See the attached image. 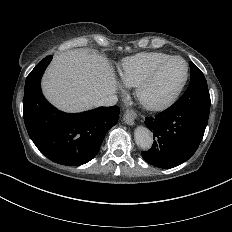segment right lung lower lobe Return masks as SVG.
<instances>
[{
  "label": "right lung lower lobe",
  "instance_id": "obj_1",
  "mask_svg": "<svg viewBox=\"0 0 232 232\" xmlns=\"http://www.w3.org/2000/svg\"><path fill=\"white\" fill-rule=\"evenodd\" d=\"M52 60L45 57L25 82L23 117L36 147L51 161L68 166L89 162L98 153L107 131L118 122L117 106L67 114L53 107L43 96L41 77Z\"/></svg>",
  "mask_w": 232,
  "mask_h": 232
}]
</instances>
